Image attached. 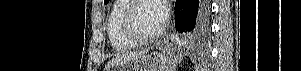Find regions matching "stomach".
Listing matches in <instances>:
<instances>
[{"instance_id":"obj_1","label":"stomach","mask_w":301,"mask_h":71,"mask_svg":"<svg viewBox=\"0 0 301 71\" xmlns=\"http://www.w3.org/2000/svg\"><path fill=\"white\" fill-rule=\"evenodd\" d=\"M177 62L169 51L153 52L129 62L116 65L110 71H175Z\"/></svg>"}]
</instances>
